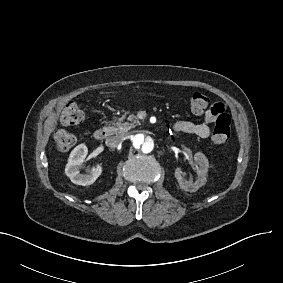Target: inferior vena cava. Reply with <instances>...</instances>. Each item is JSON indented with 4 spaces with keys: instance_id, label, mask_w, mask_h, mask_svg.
Instances as JSON below:
<instances>
[{
    "instance_id": "602c4592",
    "label": "inferior vena cava",
    "mask_w": 283,
    "mask_h": 283,
    "mask_svg": "<svg viewBox=\"0 0 283 283\" xmlns=\"http://www.w3.org/2000/svg\"><path fill=\"white\" fill-rule=\"evenodd\" d=\"M122 141V136H111L106 139V145L108 147H116Z\"/></svg>"
}]
</instances>
